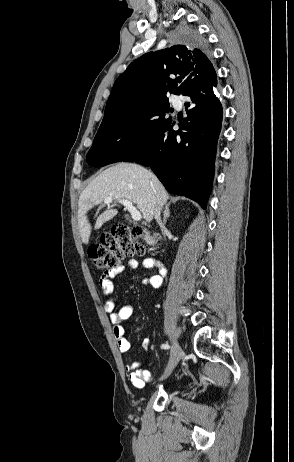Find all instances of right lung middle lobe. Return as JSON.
<instances>
[{
  "label": "right lung middle lobe",
  "instance_id": "dd1d6c3e",
  "mask_svg": "<svg viewBox=\"0 0 294 462\" xmlns=\"http://www.w3.org/2000/svg\"><path fill=\"white\" fill-rule=\"evenodd\" d=\"M176 36L189 46L202 49L207 47L206 40L191 28L182 27ZM170 111L168 98L164 97L146 100L104 117L87 155V161L98 160L99 166L122 161L170 119L165 118Z\"/></svg>",
  "mask_w": 294,
  "mask_h": 462
}]
</instances>
